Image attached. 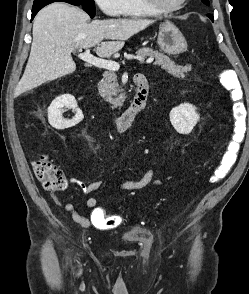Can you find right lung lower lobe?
<instances>
[{"label": "right lung lower lobe", "instance_id": "98d812e1", "mask_svg": "<svg viewBox=\"0 0 249 294\" xmlns=\"http://www.w3.org/2000/svg\"><path fill=\"white\" fill-rule=\"evenodd\" d=\"M41 9V7H38V8H33L32 9V18L31 20L34 18V16L37 14V12Z\"/></svg>", "mask_w": 249, "mask_h": 294}]
</instances>
